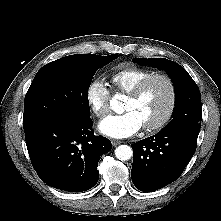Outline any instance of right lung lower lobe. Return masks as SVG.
I'll return each mask as SVG.
<instances>
[{
	"label": "right lung lower lobe",
	"mask_w": 221,
	"mask_h": 221,
	"mask_svg": "<svg viewBox=\"0 0 221 221\" xmlns=\"http://www.w3.org/2000/svg\"><path fill=\"white\" fill-rule=\"evenodd\" d=\"M92 120L78 122L53 119L25 132L33 167L43 182L54 188L80 192L98 181L100 156L111 150V142L95 136Z\"/></svg>",
	"instance_id": "right-lung-lower-lobe-1"
}]
</instances>
